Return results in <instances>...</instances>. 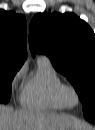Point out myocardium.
<instances>
[{
  "label": "myocardium",
  "instance_id": "1",
  "mask_svg": "<svg viewBox=\"0 0 95 130\" xmlns=\"http://www.w3.org/2000/svg\"><path fill=\"white\" fill-rule=\"evenodd\" d=\"M68 91H72L76 95L77 102L75 105H71L68 103L67 98H66ZM58 96L61 103L64 105V107L68 109L77 108L81 103V94L79 90L72 84L62 83L58 88Z\"/></svg>",
  "mask_w": 95,
  "mask_h": 130
}]
</instances>
